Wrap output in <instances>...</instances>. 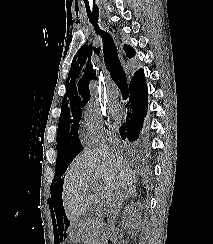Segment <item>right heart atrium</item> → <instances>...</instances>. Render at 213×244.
<instances>
[{
    "instance_id": "right-heart-atrium-1",
    "label": "right heart atrium",
    "mask_w": 213,
    "mask_h": 244,
    "mask_svg": "<svg viewBox=\"0 0 213 244\" xmlns=\"http://www.w3.org/2000/svg\"><path fill=\"white\" fill-rule=\"evenodd\" d=\"M111 125L103 107L95 101H89L81 114V137L87 144L103 141L111 133Z\"/></svg>"
}]
</instances>
